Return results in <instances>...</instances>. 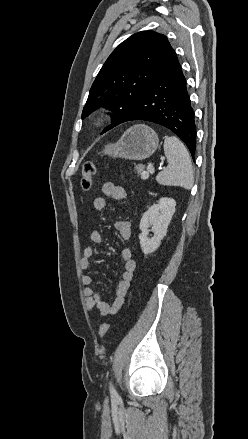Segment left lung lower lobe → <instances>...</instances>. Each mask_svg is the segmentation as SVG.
<instances>
[{
	"instance_id": "1",
	"label": "left lung lower lobe",
	"mask_w": 248,
	"mask_h": 439,
	"mask_svg": "<svg viewBox=\"0 0 248 439\" xmlns=\"http://www.w3.org/2000/svg\"><path fill=\"white\" fill-rule=\"evenodd\" d=\"M133 120L150 121L170 129L186 144L195 160L194 111L175 52L121 123Z\"/></svg>"
}]
</instances>
